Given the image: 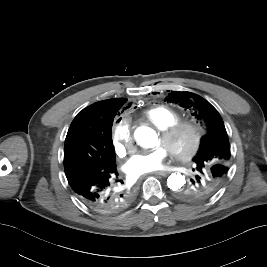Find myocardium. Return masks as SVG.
Listing matches in <instances>:
<instances>
[{
	"mask_svg": "<svg viewBox=\"0 0 267 267\" xmlns=\"http://www.w3.org/2000/svg\"><path fill=\"white\" fill-rule=\"evenodd\" d=\"M183 129H188L192 134L190 145L185 150L169 147V152L177 159L187 161L197 153L202 141L203 133L197 124L189 120H178L161 129L160 139L163 143H167Z\"/></svg>",
	"mask_w": 267,
	"mask_h": 267,
	"instance_id": "myocardium-1",
	"label": "myocardium"
}]
</instances>
